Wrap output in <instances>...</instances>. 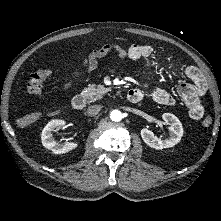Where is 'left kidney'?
<instances>
[{"mask_svg":"<svg viewBox=\"0 0 221 221\" xmlns=\"http://www.w3.org/2000/svg\"><path fill=\"white\" fill-rule=\"evenodd\" d=\"M162 119L169 123L171 126L169 127V138L168 139H160L154 135V133L146 128L141 130V137L143 141L150 147L160 150L163 148L173 147L177 143L180 142L181 137L183 135V127L179 119L171 114L164 113L162 115Z\"/></svg>","mask_w":221,"mask_h":221,"instance_id":"5707ae66","label":"left kidney"}]
</instances>
